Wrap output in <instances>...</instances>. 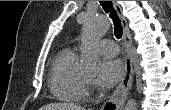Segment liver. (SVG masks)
Masks as SVG:
<instances>
[{
	"instance_id": "obj_1",
	"label": "liver",
	"mask_w": 171,
	"mask_h": 110,
	"mask_svg": "<svg viewBox=\"0 0 171 110\" xmlns=\"http://www.w3.org/2000/svg\"><path fill=\"white\" fill-rule=\"evenodd\" d=\"M40 110H84L80 106L67 103H51L45 106H42Z\"/></svg>"
}]
</instances>
